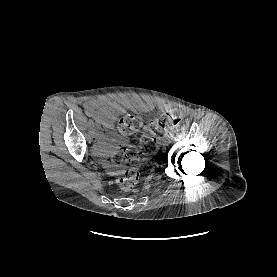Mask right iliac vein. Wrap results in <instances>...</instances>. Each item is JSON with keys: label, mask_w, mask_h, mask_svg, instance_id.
Listing matches in <instances>:
<instances>
[{"label": "right iliac vein", "mask_w": 277, "mask_h": 277, "mask_svg": "<svg viewBox=\"0 0 277 277\" xmlns=\"http://www.w3.org/2000/svg\"><path fill=\"white\" fill-rule=\"evenodd\" d=\"M95 138L98 139V138H99V135H98V134H95Z\"/></svg>", "instance_id": "1"}]
</instances>
